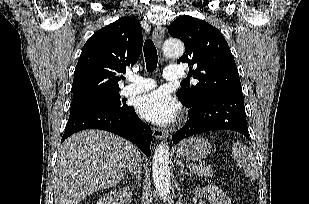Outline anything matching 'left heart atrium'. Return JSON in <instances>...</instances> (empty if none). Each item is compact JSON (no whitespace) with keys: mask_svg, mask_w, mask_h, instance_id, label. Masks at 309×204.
Returning <instances> with one entry per match:
<instances>
[{"mask_svg":"<svg viewBox=\"0 0 309 204\" xmlns=\"http://www.w3.org/2000/svg\"><path fill=\"white\" fill-rule=\"evenodd\" d=\"M137 111L146 120L167 125L176 119L179 106L166 91L159 89L140 97Z\"/></svg>","mask_w":309,"mask_h":204,"instance_id":"obj_1","label":"left heart atrium"}]
</instances>
